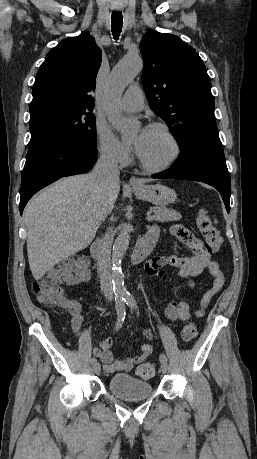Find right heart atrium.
I'll use <instances>...</instances> for the list:
<instances>
[{"label":"right heart atrium","mask_w":257,"mask_h":459,"mask_svg":"<svg viewBox=\"0 0 257 459\" xmlns=\"http://www.w3.org/2000/svg\"><path fill=\"white\" fill-rule=\"evenodd\" d=\"M97 139L98 150L103 159L118 165H126L130 162L131 148L122 143L107 126L97 125Z\"/></svg>","instance_id":"obj_1"}]
</instances>
